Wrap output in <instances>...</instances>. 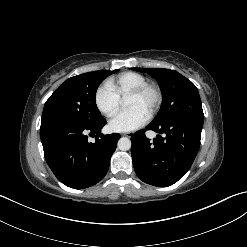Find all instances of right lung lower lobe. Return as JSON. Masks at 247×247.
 <instances>
[{
	"label": "right lung lower lobe",
	"mask_w": 247,
	"mask_h": 247,
	"mask_svg": "<svg viewBox=\"0 0 247 247\" xmlns=\"http://www.w3.org/2000/svg\"><path fill=\"white\" fill-rule=\"evenodd\" d=\"M103 118L92 125L57 121L43 124L40 137L45 159L54 175L66 186L83 189L95 185L106 175L110 158L120 135H103ZM96 134L95 143L88 136Z\"/></svg>",
	"instance_id": "obj_1"
}]
</instances>
